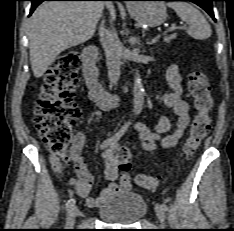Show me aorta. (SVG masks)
Returning a JSON list of instances; mask_svg holds the SVG:
<instances>
[{"mask_svg": "<svg viewBox=\"0 0 234 231\" xmlns=\"http://www.w3.org/2000/svg\"><path fill=\"white\" fill-rule=\"evenodd\" d=\"M144 104V88L138 74L134 76L133 85V112L137 116L141 113Z\"/></svg>", "mask_w": 234, "mask_h": 231, "instance_id": "aorta-1", "label": "aorta"}]
</instances>
